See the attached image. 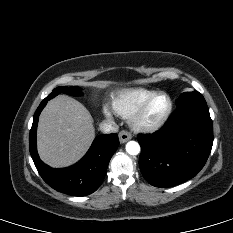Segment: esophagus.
<instances>
[{"instance_id": "esophagus-1", "label": "esophagus", "mask_w": 233, "mask_h": 233, "mask_svg": "<svg viewBox=\"0 0 233 233\" xmlns=\"http://www.w3.org/2000/svg\"><path fill=\"white\" fill-rule=\"evenodd\" d=\"M131 138H132V135L128 131H125V130L120 131V133H119L120 143H125L128 140H130Z\"/></svg>"}]
</instances>
